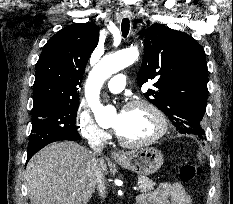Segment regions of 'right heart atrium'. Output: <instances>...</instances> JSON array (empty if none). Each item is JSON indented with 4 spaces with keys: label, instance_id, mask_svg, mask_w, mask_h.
I'll return each instance as SVG.
<instances>
[{
    "label": "right heart atrium",
    "instance_id": "obj_1",
    "mask_svg": "<svg viewBox=\"0 0 233 204\" xmlns=\"http://www.w3.org/2000/svg\"><path fill=\"white\" fill-rule=\"evenodd\" d=\"M75 126L79 135L88 143H104L109 134L94 121L87 109L79 107L75 116Z\"/></svg>",
    "mask_w": 233,
    "mask_h": 204
}]
</instances>
